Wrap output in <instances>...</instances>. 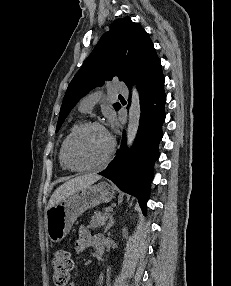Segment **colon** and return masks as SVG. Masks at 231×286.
<instances>
[{
  "mask_svg": "<svg viewBox=\"0 0 231 286\" xmlns=\"http://www.w3.org/2000/svg\"><path fill=\"white\" fill-rule=\"evenodd\" d=\"M53 280L57 286H66L73 270V259L67 249H59L52 260Z\"/></svg>",
  "mask_w": 231,
  "mask_h": 286,
  "instance_id": "obj_1",
  "label": "colon"
}]
</instances>
